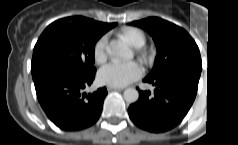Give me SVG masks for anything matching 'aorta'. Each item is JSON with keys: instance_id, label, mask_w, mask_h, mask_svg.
Listing matches in <instances>:
<instances>
[{"instance_id": "obj_1", "label": "aorta", "mask_w": 238, "mask_h": 145, "mask_svg": "<svg viewBox=\"0 0 238 145\" xmlns=\"http://www.w3.org/2000/svg\"><path fill=\"white\" fill-rule=\"evenodd\" d=\"M109 54L122 58L131 59L133 57V52L129 46L120 40H112L107 48ZM123 97L126 102L133 103L138 100L139 93L134 88H127L124 90Z\"/></svg>"}]
</instances>
